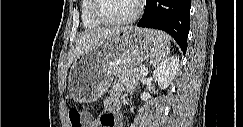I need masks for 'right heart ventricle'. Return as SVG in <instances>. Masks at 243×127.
Masks as SVG:
<instances>
[{
    "mask_svg": "<svg viewBox=\"0 0 243 127\" xmlns=\"http://www.w3.org/2000/svg\"><path fill=\"white\" fill-rule=\"evenodd\" d=\"M92 4V0H82L80 4L81 20L86 29H95L102 26L92 16Z\"/></svg>",
    "mask_w": 243,
    "mask_h": 127,
    "instance_id": "obj_1",
    "label": "right heart ventricle"
}]
</instances>
